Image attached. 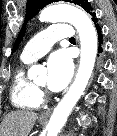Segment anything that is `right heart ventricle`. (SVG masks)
<instances>
[{
  "mask_svg": "<svg viewBox=\"0 0 117 136\" xmlns=\"http://www.w3.org/2000/svg\"><path fill=\"white\" fill-rule=\"evenodd\" d=\"M28 63L23 61L24 65ZM10 98L15 107L23 110L38 109L43 102L36 84L26 76L24 66L19 67L13 76Z\"/></svg>",
  "mask_w": 117,
  "mask_h": 136,
  "instance_id": "obj_1",
  "label": "right heart ventricle"
}]
</instances>
